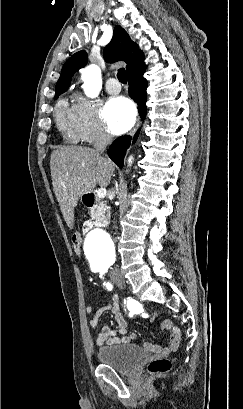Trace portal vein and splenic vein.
Masks as SVG:
<instances>
[{"label": "portal vein and splenic vein", "instance_id": "portal-vein-and-splenic-vein-1", "mask_svg": "<svg viewBox=\"0 0 243 409\" xmlns=\"http://www.w3.org/2000/svg\"><path fill=\"white\" fill-rule=\"evenodd\" d=\"M106 194H107L106 188H100V189L98 190V192H97V196H98L99 198H104V197L106 196Z\"/></svg>", "mask_w": 243, "mask_h": 409}]
</instances>
